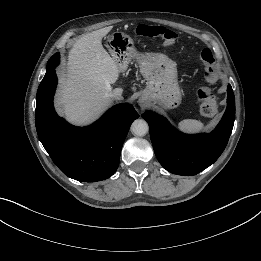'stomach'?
<instances>
[{"instance_id":"obj_1","label":"stomach","mask_w":261,"mask_h":261,"mask_svg":"<svg viewBox=\"0 0 261 261\" xmlns=\"http://www.w3.org/2000/svg\"><path fill=\"white\" fill-rule=\"evenodd\" d=\"M108 47L119 68H127L131 60H137L147 86L142 92V100L157 104L164 109L176 108L182 99L177 81L176 63L161 53L137 51L133 39L121 31L107 37Z\"/></svg>"}]
</instances>
